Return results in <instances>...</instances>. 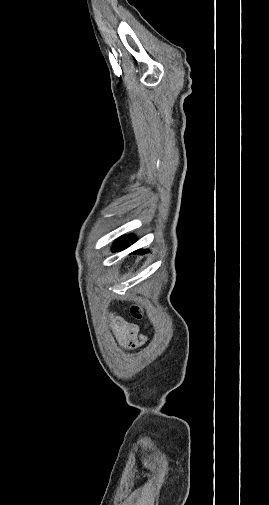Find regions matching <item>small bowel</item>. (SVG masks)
Wrapping results in <instances>:
<instances>
[{
    "label": "small bowel",
    "instance_id": "c3829d8e",
    "mask_svg": "<svg viewBox=\"0 0 269 505\" xmlns=\"http://www.w3.org/2000/svg\"><path fill=\"white\" fill-rule=\"evenodd\" d=\"M113 329L123 345L136 347L144 341V337L139 334L138 327L120 316L113 317Z\"/></svg>",
    "mask_w": 269,
    "mask_h": 505
}]
</instances>
